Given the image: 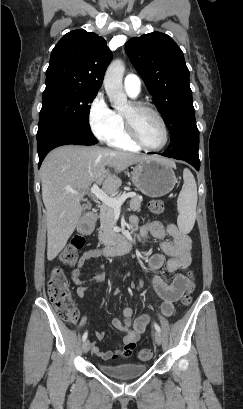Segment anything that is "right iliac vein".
I'll return each instance as SVG.
<instances>
[{"label":"right iliac vein","instance_id":"right-iliac-vein-1","mask_svg":"<svg viewBox=\"0 0 243 409\" xmlns=\"http://www.w3.org/2000/svg\"><path fill=\"white\" fill-rule=\"evenodd\" d=\"M82 348H83V352H84V353H87V352L89 351V349H90V341H89V340H86V341L83 343Z\"/></svg>","mask_w":243,"mask_h":409}]
</instances>
